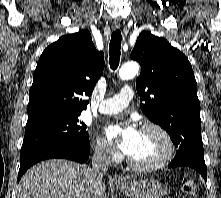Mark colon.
<instances>
[{"label": "colon", "instance_id": "1", "mask_svg": "<svg viewBox=\"0 0 221 198\" xmlns=\"http://www.w3.org/2000/svg\"><path fill=\"white\" fill-rule=\"evenodd\" d=\"M182 193L187 198H194L196 196V184L193 179H187L182 184Z\"/></svg>", "mask_w": 221, "mask_h": 198}]
</instances>
